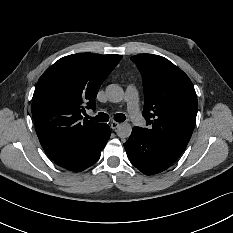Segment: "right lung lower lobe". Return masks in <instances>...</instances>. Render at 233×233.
<instances>
[{
  "label": "right lung lower lobe",
  "instance_id": "98d812e1",
  "mask_svg": "<svg viewBox=\"0 0 233 233\" xmlns=\"http://www.w3.org/2000/svg\"><path fill=\"white\" fill-rule=\"evenodd\" d=\"M111 135L110 128L104 124L102 131L92 139H89L68 153L52 159L58 166L70 171L79 172L93 165L100 157Z\"/></svg>",
  "mask_w": 233,
  "mask_h": 233
}]
</instances>
